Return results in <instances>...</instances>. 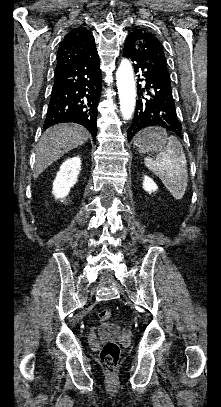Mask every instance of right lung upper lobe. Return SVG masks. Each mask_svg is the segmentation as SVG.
Masks as SVG:
<instances>
[{"label": "right lung upper lobe", "mask_w": 221, "mask_h": 407, "mask_svg": "<svg viewBox=\"0 0 221 407\" xmlns=\"http://www.w3.org/2000/svg\"><path fill=\"white\" fill-rule=\"evenodd\" d=\"M95 47L94 37L87 29L83 27L74 28L65 35L60 43L55 72H59L90 56Z\"/></svg>", "instance_id": "1"}]
</instances>
